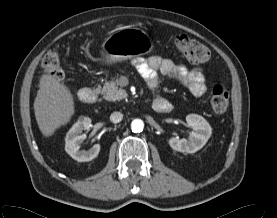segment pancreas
Masks as SVG:
<instances>
[{"label":"pancreas","mask_w":277,"mask_h":218,"mask_svg":"<svg viewBox=\"0 0 277 218\" xmlns=\"http://www.w3.org/2000/svg\"><path fill=\"white\" fill-rule=\"evenodd\" d=\"M98 89L100 90L101 88L98 87ZM100 91L103 97L109 101H120L121 99H125L128 96L126 91L119 87L117 80L105 82L104 86Z\"/></svg>","instance_id":"pancreas-1"}]
</instances>
